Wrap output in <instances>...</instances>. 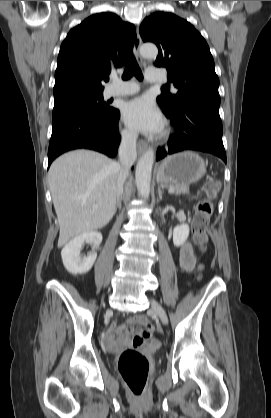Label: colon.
Instances as JSON below:
<instances>
[{"mask_svg":"<svg viewBox=\"0 0 271 418\" xmlns=\"http://www.w3.org/2000/svg\"><path fill=\"white\" fill-rule=\"evenodd\" d=\"M219 183L207 181L203 192L205 197L199 200L195 206L193 220V232L196 244L204 249L207 243L206 228L213 213L212 198L218 193ZM140 324L145 326L143 337L153 336V327L145 317H139ZM119 372L134 396H141L147 386L150 363L148 358L135 349L124 350L118 359Z\"/></svg>","mask_w":271,"mask_h":418,"instance_id":"obj_1","label":"colon"}]
</instances>
